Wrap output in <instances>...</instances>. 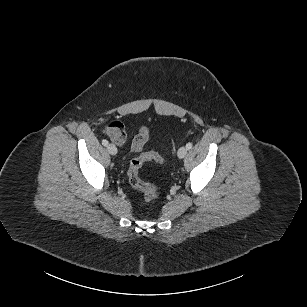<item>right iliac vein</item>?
Segmentation results:
<instances>
[{"mask_svg":"<svg viewBox=\"0 0 307 307\" xmlns=\"http://www.w3.org/2000/svg\"><path fill=\"white\" fill-rule=\"evenodd\" d=\"M107 150L111 155H116L117 154V148L114 144H109L107 146Z\"/></svg>","mask_w":307,"mask_h":307,"instance_id":"63e3f726","label":"right iliac vein"}]
</instances>
